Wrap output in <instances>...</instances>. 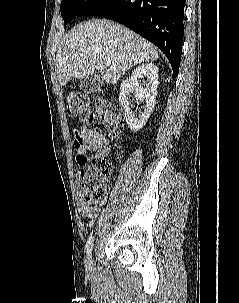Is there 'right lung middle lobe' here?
I'll return each instance as SVG.
<instances>
[{
  "mask_svg": "<svg viewBox=\"0 0 239 303\" xmlns=\"http://www.w3.org/2000/svg\"><path fill=\"white\" fill-rule=\"evenodd\" d=\"M106 0H62L60 11L64 23L68 24L76 16L88 15Z\"/></svg>",
  "mask_w": 239,
  "mask_h": 303,
  "instance_id": "right-lung-middle-lobe-1",
  "label": "right lung middle lobe"
}]
</instances>
